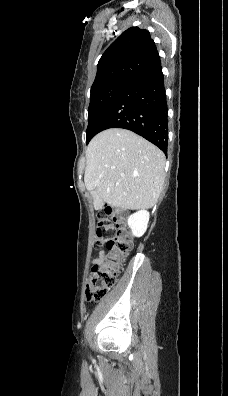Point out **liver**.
Segmentation results:
<instances>
[{
  "label": "liver",
  "instance_id": "6515ba94",
  "mask_svg": "<svg viewBox=\"0 0 228 396\" xmlns=\"http://www.w3.org/2000/svg\"><path fill=\"white\" fill-rule=\"evenodd\" d=\"M164 167L165 156L159 148L129 130L113 128L90 141L84 182L96 210L104 203L129 210L148 209L162 191Z\"/></svg>",
  "mask_w": 228,
  "mask_h": 396
}]
</instances>
